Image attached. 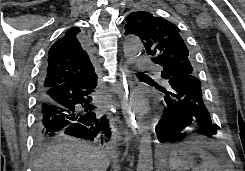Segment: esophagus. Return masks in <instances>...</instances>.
Here are the masks:
<instances>
[{"label":"esophagus","mask_w":245,"mask_h":171,"mask_svg":"<svg viewBox=\"0 0 245 171\" xmlns=\"http://www.w3.org/2000/svg\"><path fill=\"white\" fill-rule=\"evenodd\" d=\"M121 72L123 76V85L120 93L122 113L131 130L135 133L142 134L144 132L143 123L140 116L132 107L131 91L133 88V81L131 79L130 71L126 65H122Z\"/></svg>","instance_id":"obj_1"}]
</instances>
